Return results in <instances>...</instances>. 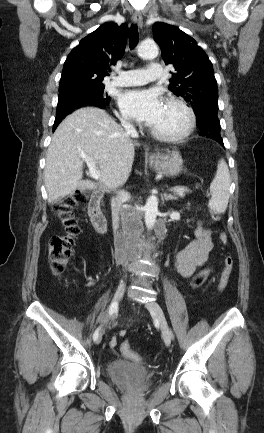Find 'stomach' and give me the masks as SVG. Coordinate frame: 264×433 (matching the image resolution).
I'll return each mask as SVG.
<instances>
[{
    "mask_svg": "<svg viewBox=\"0 0 264 433\" xmlns=\"http://www.w3.org/2000/svg\"><path fill=\"white\" fill-rule=\"evenodd\" d=\"M149 165L158 173L173 177L182 171L183 159L179 151H167L158 154L154 160H150Z\"/></svg>",
    "mask_w": 264,
    "mask_h": 433,
    "instance_id": "1",
    "label": "stomach"
}]
</instances>
